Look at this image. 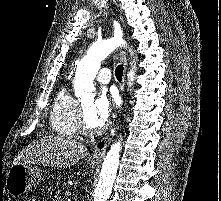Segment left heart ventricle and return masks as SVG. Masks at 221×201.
<instances>
[{
    "label": "left heart ventricle",
    "mask_w": 221,
    "mask_h": 201,
    "mask_svg": "<svg viewBox=\"0 0 221 201\" xmlns=\"http://www.w3.org/2000/svg\"><path fill=\"white\" fill-rule=\"evenodd\" d=\"M93 103V100L85 101L82 103V107L84 109L88 124L93 128H97L100 127L102 124L99 121H97L92 114Z\"/></svg>",
    "instance_id": "obj_1"
}]
</instances>
